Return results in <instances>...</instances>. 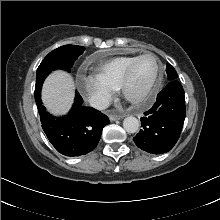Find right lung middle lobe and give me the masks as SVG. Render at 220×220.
<instances>
[{
  "instance_id": "right-lung-middle-lobe-1",
  "label": "right lung middle lobe",
  "mask_w": 220,
  "mask_h": 220,
  "mask_svg": "<svg viewBox=\"0 0 220 220\" xmlns=\"http://www.w3.org/2000/svg\"><path fill=\"white\" fill-rule=\"evenodd\" d=\"M83 46L64 45L50 52L41 62L36 74V87L55 69L70 71L76 59L83 53Z\"/></svg>"
}]
</instances>
